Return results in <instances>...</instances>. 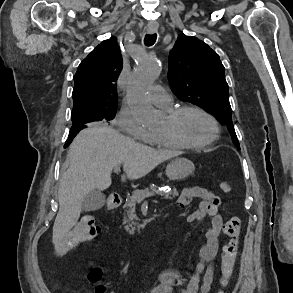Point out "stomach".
<instances>
[{"label":"stomach","mask_w":293,"mask_h":293,"mask_svg":"<svg viewBox=\"0 0 293 293\" xmlns=\"http://www.w3.org/2000/svg\"><path fill=\"white\" fill-rule=\"evenodd\" d=\"M195 170L194 163L187 158H176L166 167V176L173 181L184 180Z\"/></svg>","instance_id":"0dacf381"}]
</instances>
